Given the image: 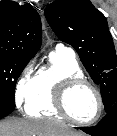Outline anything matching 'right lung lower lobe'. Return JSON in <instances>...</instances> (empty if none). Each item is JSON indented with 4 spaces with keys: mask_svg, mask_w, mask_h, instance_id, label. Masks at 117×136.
<instances>
[{
    "mask_svg": "<svg viewBox=\"0 0 117 136\" xmlns=\"http://www.w3.org/2000/svg\"><path fill=\"white\" fill-rule=\"evenodd\" d=\"M15 109V101L0 99V119L12 113Z\"/></svg>",
    "mask_w": 117,
    "mask_h": 136,
    "instance_id": "1",
    "label": "right lung lower lobe"
}]
</instances>
